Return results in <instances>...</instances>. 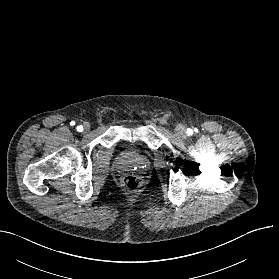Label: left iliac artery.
Wrapping results in <instances>:
<instances>
[{
    "label": "left iliac artery",
    "mask_w": 279,
    "mask_h": 279,
    "mask_svg": "<svg viewBox=\"0 0 279 279\" xmlns=\"http://www.w3.org/2000/svg\"><path fill=\"white\" fill-rule=\"evenodd\" d=\"M193 134V130L192 129H187V135H192Z\"/></svg>",
    "instance_id": "44dca946"
}]
</instances>
